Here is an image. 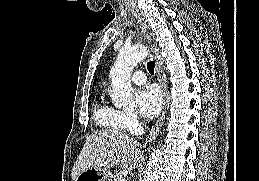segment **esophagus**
<instances>
[{
  "mask_svg": "<svg viewBox=\"0 0 259 181\" xmlns=\"http://www.w3.org/2000/svg\"><path fill=\"white\" fill-rule=\"evenodd\" d=\"M143 31L145 33V36L148 40V42L151 45V48L153 50V57L155 59L156 62V73H157V77L158 80L160 82V85L162 87L163 90V110H162V114L160 116V118L158 119V121L155 123V125L152 127L151 131L149 132V135L145 141V145H148L150 143H152L153 141L156 140L157 136L159 135L160 131H161V127L163 125L164 122V118L166 115V107H167V79H166V75L164 73V69H163V62L162 59L160 57V53L159 50L157 48V44L155 42L154 36L153 34L149 31V28L146 24H143Z\"/></svg>",
  "mask_w": 259,
  "mask_h": 181,
  "instance_id": "34e87169",
  "label": "esophagus"
}]
</instances>
